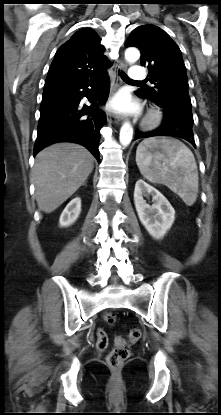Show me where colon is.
I'll return each instance as SVG.
<instances>
[{"label":"colon","mask_w":221,"mask_h":415,"mask_svg":"<svg viewBox=\"0 0 221 415\" xmlns=\"http://www.w3.org/2000/svg\"><path fill=\"white\" fill-rule=\"evenodd\" d=\"M104 320L108 324H113L116 320L114 313L108 312L104 314ZM142 337V330L134 327L130 330L128 337L116 336L114 338V348L107 356V362L112 368H119L129 358V345L134 344ZM108 345V338L103 329L97 330L96 347L98 350H105Z\"/></svg>","instance_id":"colon-1"}]
</instances>
